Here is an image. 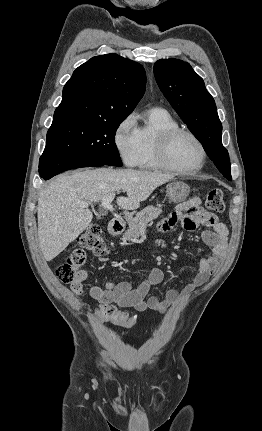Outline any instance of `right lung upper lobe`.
Wrapping results in <instances>:
<instances>
[{
  "mask_svg": "<svg viewBox=\"0 0 262 431\" xmlns=\"http://www.w3.org/2000/svg\"><path fill=\"white\" fill-rule=\"evenodd\" d=\"M145 82L144 68L132 60L112 53L93 57L65 84L52 125L126 118L143 96Z\"/></svg>",
  "mask_w": 262,
  "mask_h": 431,
  "instance_id": "right-lung-upper-lobe-1",
  "label": "right lung upper lobe"
}]
</instances>
